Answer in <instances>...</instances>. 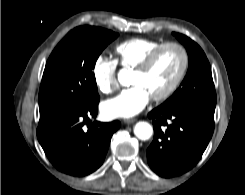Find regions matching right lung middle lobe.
Here are the masks:
<instances>
[{
  "instance_id": "dd1d6c3e",
  "label": "right lung middle lobe",
  "mask_w": 245,
  "mask_h": 195,
  "mask_svg": "<svg viewBox=\"0 0 245 195\" xmlns=\"http://www.w3.org/2000/svg\"><path fill=\"white\" fill-rule=\"evenodd\" d=\"M117 37L106 29L81 26L61 40L43 73L40 116L87 108L99 101L93 69L101 52Z\"/></svg>"
}]
</instances>
